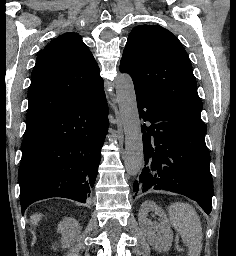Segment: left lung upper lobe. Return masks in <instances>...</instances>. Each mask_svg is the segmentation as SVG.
I'll return each instance as SVG.
<instances>
[{
  "mask_svg": "<svg viewBox=\"0 0 236 256\" xmlns=\"http://www.w3.org/2000/svg\"><path fill=\"white\" fill-rule=\"evenodd\" d=\"M120 71L135 92L201 117L203 104L191 63L180 41L158 25H139L129 34Z\"/></svg>",
  "mask_w": 236,
  "mask_h": 256,
  "instance_id": "5c2ea615",
  "label": "left lung upper lobe"
}]
</instances>
